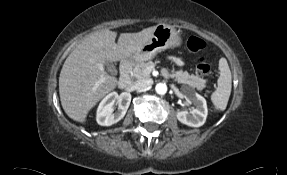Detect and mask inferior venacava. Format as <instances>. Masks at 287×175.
<instances>
[{
	"mask_svg": "<svg viewBox=\"0 0 287 175\" xmlns=\"http://www.w3.org/2000/svg\"><path fill=\"white\" fill-rule=\"evenodd\" d=\"M152 83H153L152 79H141V80L134 82L133 88L135 90H145L149 86H151Z\"/></svg>",
	"mask_w": 287,
	"mask_h": 175,
	"instance_id": "obj_1",
	"label": "inferior vena cava"
}]
</instances>
